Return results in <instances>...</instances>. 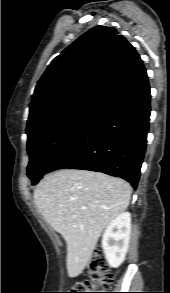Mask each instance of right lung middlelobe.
<instances>
[{
  "label": "right lung middle lobe",
  "instance_id": "right-lung-middle-lobe-1",
  "mask_svg": "<svg viewBox=\"0 0 170 293\" xmlns=\"http://www.w3.org/2000/svg\"><path fill=\"white\" fill-rule=\"evenodd\" d=\"M100 108L101 105L90 103L75 105L26 129L30 157L27 174L33 185L48 173L54 161L86 131Z\"/></svg>",
  "mask_w": 170,
  "mask_h": 293
}]
</instances>
